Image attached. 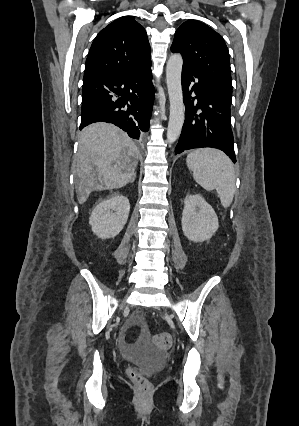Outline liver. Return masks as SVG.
<instances>
[{
  "instance_id": "6515ba94",
  "label": "liver",
  "mask_w": 299,
  "mask_h": 426,
  "mask_svg": "<svg viewBox=\"0 0 299 426\" xmlns=\"http://www.w3.org/2000/svg\"><path fill=\"white\" fill-rule=\"evenodd\" d=\"M78 141L75 175L80 204L92 191L121 188L132 181L139 150L121 129L93 123L82 130Z\"/></svg>"
}]
</instances>
